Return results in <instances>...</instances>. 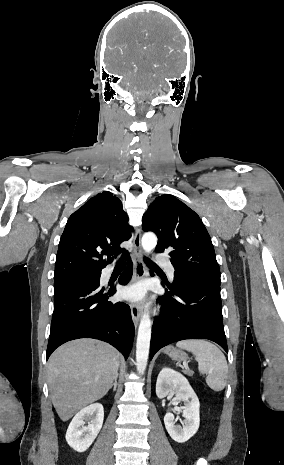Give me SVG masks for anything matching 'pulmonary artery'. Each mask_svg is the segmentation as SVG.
Returning a JSON list of instances; mask_svg holds the SVG:
<instances>
[{
    "label": "pulmonary artery",
    "mask_w": 284,
    "mask_h": 465,
    "mask_svg": "<svg viewBox=\"0 0 284 465\" xmlns=\"http://www.w3.org/2000/svg\"><path fill=\"white\" fill-rule=\"evenodd\" d=\"M156 256H157V261L159 263H167L169 261V256L167 254L156 253ZM173 274H174V270L171 269L169 271V275H170L171 278H173Z\"/></svg>",
    "instance_id": "obj_1"
}]
</instances>
